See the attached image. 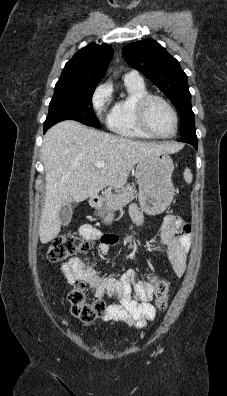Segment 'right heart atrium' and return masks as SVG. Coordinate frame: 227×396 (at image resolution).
<instances>
[{
    "label": "right heart atrium",
    "instance_id": "right-heart-atrium-1",
    "mask_svg": "<svg viewBox=\"0 0 227 396\" xmlns=\"http://www.w3.org/2000/svg\"><path fill=\"white\" fill-rule=\"evenodd\" d=\"M111 98V91L106 84H100L93 92L91 102L97 115H102Z\"/></svg>",
    "mask_w": 227,
    "mask_h": 396
}]
</instances>
